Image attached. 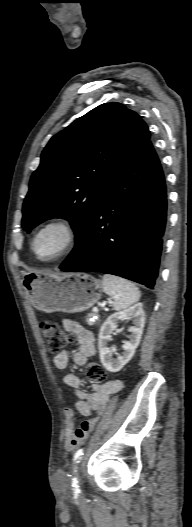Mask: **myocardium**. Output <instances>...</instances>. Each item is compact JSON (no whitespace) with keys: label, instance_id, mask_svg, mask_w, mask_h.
<instances>
[{"label":"myocardium","instance_id":"1","mask_svg":"<svg viewBox=\"0 0 192 527\" xmlns=\"http://www.w3.org/2000/svg\"><path fill=\"white\" fill-rule=\"evenodd\" d=\"M52 226H59L63 228L66 233V239H65L64 245L57 253H55L54 255L50 257L43 258L39 256L37 252L36 242H37L39 235L44 230ZM78 237H79V234H78L77 226L71 219L67 217H53L43 222L34 231L32 238H31V250H32L33 255L38 261L45 262V263L54 262V261H57L67 256L75 248L78 242Z\"/></svg>","mask_w":192,"mask_h":527}]
</instances>
